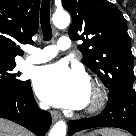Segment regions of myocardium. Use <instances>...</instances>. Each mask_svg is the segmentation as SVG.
I'll return each instance as SVG.
<instances>
[{"instance_id": "1", "label": "myocardium", "mask_w": 136, "mask_h": 136, "mask_svg": "<svg viewBox=\"0 0 136 136\" xmlns=\"http://www.w3.org/2000/svg\"><path fill=\"white\" fill-rule=\"evenodd\" d=\"M91 98L85 106V112L95 113L103 108L106 97L103 88L96 82L90 83Z\"/></svg>"}]
</instances>
